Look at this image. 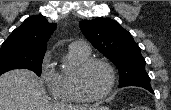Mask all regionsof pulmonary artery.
<instances>
[{"instance_id":"e3ab8cb5","label":"pulmonary artery","mask_w":171,"mask_h":110,"mask_svg":"<svg viewBox=\"0 0 171 110\" xmlns=\"http://www.w3.org/2000/svg\"><path fill=\"white\" fill-rule=\"evenodd\" d=\"M72 45L75 47H78L84 51L90 52V46L85 41L78 40V41L73 42Z\"/></svg>"}]
</instances>
